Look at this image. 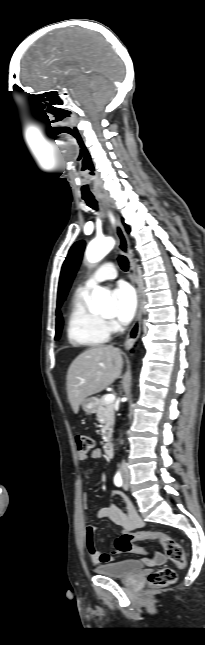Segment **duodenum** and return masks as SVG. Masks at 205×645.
<instances>
[{"label": "duodenum", "mask_w": 205, "mask_h": 645, "mask_svg": "<svg viewBox=\"0 0 205 645\" xmlns=\"http://www.w3.org/2000/svg\"><path fill=\"white\" fill-rule=\"evenodd\" d=\"M104 453L108 458H112L114 455V446L113 443L108 441L104 444Z\"/></svg>", "instance_id": "1"}]
</instances>
